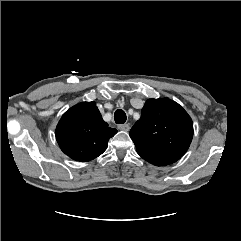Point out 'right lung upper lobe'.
<instances>
[{"instance_id": "cb5924a9", "label": "right lung upper lobe", "mask_w": 241, "mask_h": 241, "mask_svg": "<svg viewBox=\"0 0 241 241\" xmlns=\"http://www.w3.org/2000/svg\"><path fill=\"white\" fill-rule=\"evenodd\" d=\"M116 133L103 121L95 102H83L63 114L56 127V140L67 156L87 162L101 155Z\"/></svg>"}]
</instances>
